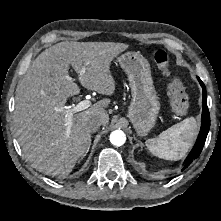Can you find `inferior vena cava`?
Masks as SVG:
<instances>
[{"mask_svg": "<svg viewBox=\"0 0 221 221\" xmlns=\"http://www.w3.org/2000/svg\"><path fill=\"white\" fill-rule=\"evenodd\" d=\"M101 125L102 120L97 116L92 117L87 121V129L89 130V132L97 131Z\"/></svg>", "mask_w": 221, "mask_h": 221, "instance_id": "602c4592", "label": "inferior vena cava"}]
</instances>
